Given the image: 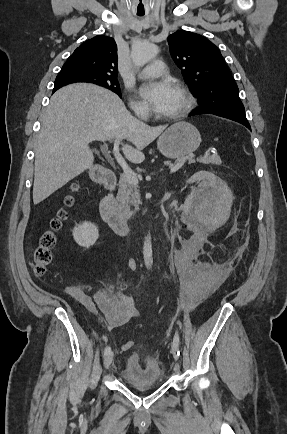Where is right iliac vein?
<instances>
[{
	"label": "right iliac vein",
	"instance_id": "1",
	"mask_svg": "<svg viewBox=\"0 0 287 434\" xmlns=\"http://www.w3.org/2000/svg\"><path fill=\"white\" fill-rule=\"evenodd\" d=\"M114 353L110 351L104 358V367L108 369L113 362Z\"/></svg>",
	"mask_w": 287,
	"mask_h": 434
}]
</instances>
